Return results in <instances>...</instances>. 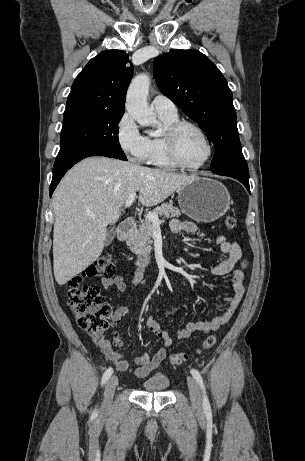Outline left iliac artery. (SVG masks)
I'll return each instance as SVG.
<instances>
[{"mask_svg": "<svg viewBox=\"0 0 305 461\" xmlns=\"http://www.w3.org/2000/svg\"><path fill=\"white\" fill-rule=\"evenodd\" d=\"M191 374H192V376L194 377V379L196 380V382L198 383V385L201 388L202 396H203V409H204V412H205L206 415L211 416V414H212L211 406H210V403H209V400H208V397H207V394H206V391H205V385H204L203 378H202L200 372L198 370H196V369H191Z\"/></svg>", "mask_w": 305, "mask_h": 461, "instance_id": "left-iliac-artery-1", "label": "left iliac artery"}]
</instances>
